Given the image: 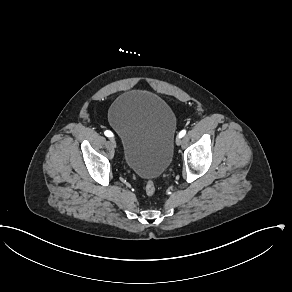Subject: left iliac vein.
<instances>
[{
    "instance_id": "4c4485c4",
    "label": "left iliac vein",
    "mask_w": 292,
    "mask_h": 292,
    "mask_svg": "<svg viewBox=\"0 0 292 292\" xmlns=\"http://www.w3.org/2000/svg\"><path fill=\"white\" fill-rule=\"evenodd\" d=\"M181 143H182V139L178 136L176 138V144L179 146V145H181Z\"/></svg>"
}]
</instances>
